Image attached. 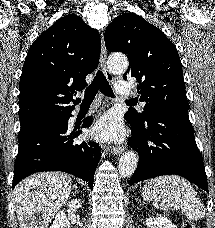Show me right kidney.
<instances>
[{"label":"right kidney","mask_w":215,"mask_h":228,"mask_svg":"<svg viewBox=\"0 0 215 228\" xmlns=\"http://www.w3.org/2000/svg\"><path fill=\"white\" fill-rule=\"evenodd\" d=\"M67 206L68 210H79V208H81L79 200H71V202H68ZM51 228H71V224L68 218H66L65 210L56 214Z\"/></svg>","instance_id":"right-kidney-1"}]
</instances>
